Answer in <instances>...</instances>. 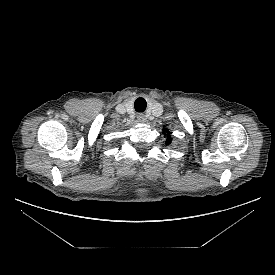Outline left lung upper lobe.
I'll return each mask as SVG.
<instances>
[{
    "label": "left lung upper lobe",
    "instance_id": "5c2ea615",
    "mask_svg": "<svg viewBox=\"0 0 275 275\" xmlns=\"http://www.w3.org/2000/svg\"><path fill=\"white\" fill-rule=\"evenodd\" d=\"M170 142H171V137L168 136V138H167V143L170 144Z\"/></svg>",
    "mask_w": 275,
    "mask_h": 275
}]
</instances>
